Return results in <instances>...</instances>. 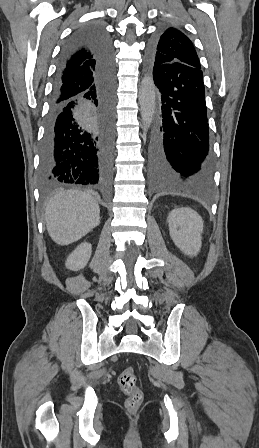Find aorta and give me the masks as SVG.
<instances>
[{
    "mask_svg": "<svg viewBox=\"0 0 259 448\" xmlns=\"http://www.w3.org/2000/svg\"><path fill=\"white\" fill-rule=\"evenodd\" d=\"M139 104L142 128L148 129L153 121L156 107V89L152 78L144 77L139 90Z\"/></svg>",
    "mask_w": 259,
    "mask_h": 448,
    "instance_id": "1",
    "label": "aorta"
}]
</instances>
